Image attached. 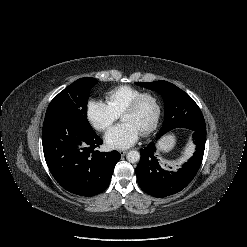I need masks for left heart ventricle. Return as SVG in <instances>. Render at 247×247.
Returning <instances> with one entry per match:
<instances>
[{
	"label": "left heart ventricle",
	"mask_w": 247,
	"mask_h": 247,
	"mask_svg": "<svg viewBox=\"0 0 247 247\" xmlns=\"http://www.w3.org/2000/svg\"><path fill=\"white\" fill-rule=\"evenodd\" d=\"M156 115V105L152 98H145L137 110L124 113L123 122L132 123L140 132L149 127Z\"/></svg>",
	"instance_id": "left-heart-ventricle-1"
}]
</instances>
